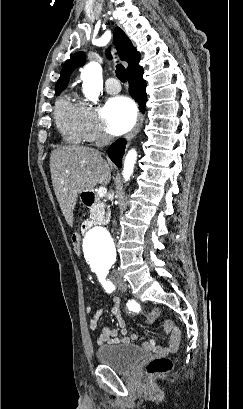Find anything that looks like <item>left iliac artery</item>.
<instances>
[{"label": "left iliac artery", "instance_id": "left-iliac-artery-1", "mask_svg": "<svg viewBox=\"0 0 243 409\" xmlns=\"http://www.w3.org/2000/svg\"><path fill=\"white\" fill-rule=\"evenodd\" d=\"M96 273H97L99 281L101 282L104 289L107 292H112L115 289V287L109 280L106 279V275L108 273V270L101 269V270L96 271Z\"/></svg>", "mask_w": 243, "mask_h": 409}]
</instances>
